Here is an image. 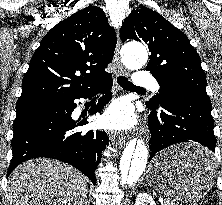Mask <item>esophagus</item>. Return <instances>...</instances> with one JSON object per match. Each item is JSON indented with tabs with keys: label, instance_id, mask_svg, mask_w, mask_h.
<instances>
[{
	"label": "esophagus",
	"instance_id": "34e87169",
	"mask_svg": "<svg viewBox=\"0 0 222 205\" xmlns=\"http://www.w3.org/2000/svg\"><path fill=\"white\" fill-rule=\"evenodd\" d=\"M119 51H120V40L118 38L116 48H115L114 60L116 62V66H117V69H118L119 73L128 75V72H127L126 68L122 65V63L120 61ZM125 142H126L125 137L123 135H121L116 140L115 145H116V147L122 148L125 145Z\"/></svg>",
	"mask_w": 222,
	"mask_h": 205
}]
</instances>
